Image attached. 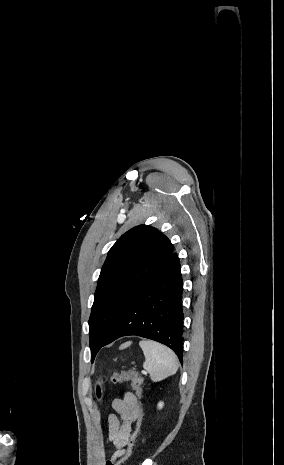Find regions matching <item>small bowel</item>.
<instances>
[{"mask_svg": "<svg viewBox=\"0 0 284 465\" xmlns=\"http://www.w3.org/2000/svg\"><path fill=\"white\" fill-rule=\"evenodd\" d=\"M112 407L118 415L110 414L108 417V439L116 452L104 465H111L120 454L125 452L132 429L141 415V408L132 393H126L122 399H115Z\"/></svg>", "mask_w": 284, "mask_h": 465, "instance_id": "c3829d8e", "label": "small bowel"}]
</instances>
